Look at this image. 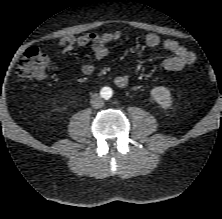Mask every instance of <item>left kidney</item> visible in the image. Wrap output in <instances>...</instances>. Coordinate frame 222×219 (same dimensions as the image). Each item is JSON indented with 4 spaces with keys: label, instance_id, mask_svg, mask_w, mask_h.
Masks as SVG:
<instances>
[{
    "label": "left kidney",
    "instance_id": "1",
    "mask_svg": "<svg viewBox=\"0 0 222 219\" xmlns=\"http://www.w3.org/2000/svg\"><path fill=\"white\" fill-rule=\"evenodd\" d=\"M151 96L164 109H167L172 105L171 93L164 86H158L153 88L151 90Z\"/></svg>",
    "mask_w": 222,
    "mask_h": 219
}]
</instances>
